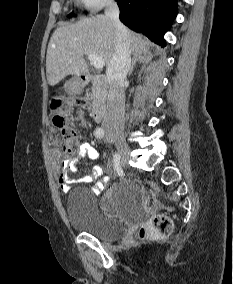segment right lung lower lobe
Wrapping results in <instances>:
<instances>
[{
	"mask_svg": "<svg viewBox=\"0 0 233 284\" xmlns=\"http://www.w3.org/2000/svg\"><path fill=\"white\" fill-rule=\"evenodd\" d=\"M120 20L165 46L164 34L177 15V0H118Z\"/></svg>",
	"mask_w": 233,
	"mask_h": 284,
	"instance_id": "98d812e1",
	"label": "right lung lower lobe"
}]
</instances>
